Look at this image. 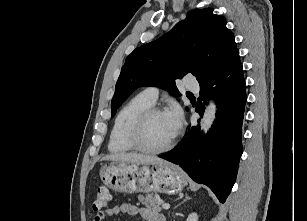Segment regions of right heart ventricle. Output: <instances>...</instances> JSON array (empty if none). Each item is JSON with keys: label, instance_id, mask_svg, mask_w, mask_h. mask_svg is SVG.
Wrapping results in <instances>:
<instances>
[{"label": "right heart ventricle", "instance_id": "1", "mask_svg": "<svg viewBox=\"0 0 307 221\" xmlns=\"http://www.w3.org/2000/svg\"><path fill=\"white\" fill-rule=\"evenodd\" d=\"M154 105L142 93L130 99L117 113L109 137L108 149L119 154L132 151L129 133L137 116Z\"/></svg>", "mask_w": 307, "mask_h": 221}]
</instances>
